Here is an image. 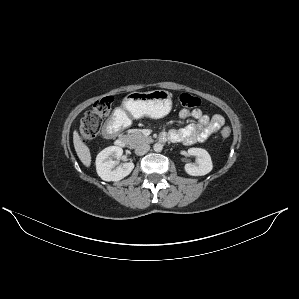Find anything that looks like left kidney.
<instances>
[{
    "label": "left kidney",
    "instance_id": "obj_1",
    "mask_svg": "<svg viewBox=\"0 0 299 299\" xmlns=\"http://www.w3.org/2000/svg\"><path fill=\"white\" fill-rule=\"evenodd\" d=\"M188 154L196 156L198 165L188 163L185 165V171L191 176H203L211 172L213 164L209 153L202 148H189Z\"/></svg>",
    "mask_w": 299,
    "mask_h": 299
}]
</instances>
